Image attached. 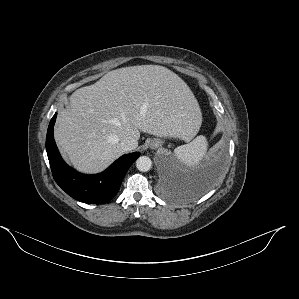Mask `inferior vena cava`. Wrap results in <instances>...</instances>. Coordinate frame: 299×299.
<instances>
[{
    "label": "inferior vena cava",
    "mask_w": 299,
    "mask_h": 299,
    "mask_svg": "<svg viewBox=\"0 0 299 299\" xmlns=\"http://www.w3.org/2000/svg\"><path fill=\"white\" fill-rule=\"evenodd\" d=\"M138 146V141L132 137H125L120 141V147L124 152L132 151Z\"/></svg>",
    "instance_id": "1"
}]
</instances>
